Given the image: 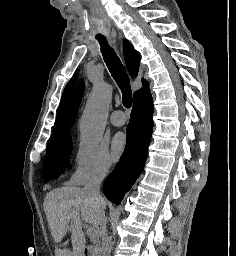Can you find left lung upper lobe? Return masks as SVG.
Returning <instances> with one entry per match:
<instances>
[{"label":"left lung upper lobe","instance_id":"1","mask_svg":"<svg viewBox=\"0 0 236 256\" xmlns=\"http://www.w3.org/2000/svg\"><path fill=\"white\" fill-rule=\"evenodd\" d=\"M84 92V81L80 80L75 90L71 105V124L75 122L81 98Z\"/></svg>","mask_w":236,"mask_h":256}]
</instances>
